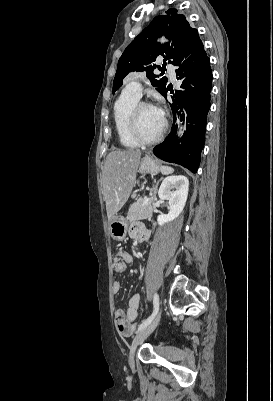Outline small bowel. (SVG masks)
<instances>
[{
	"label": "small bowel",
	"mask_w": 273,
	"mask_h": 401,
	"mask_svg": "<svg viewBox=\"0 0 273 401\" xmlns=\"http://www.w3.org/2000/svg\"><path fill=\"white\" fill-rule=\"evenodd\" d=\"M148 234V231H145L139 225L133 226L130 229V236L135 238L136 240H142L144 236ZM134 258L133 256L124 250H118L113 259V270L115 273H123L128 264H133ZM121 282L119 280H114L112 284L113 293H119L121 290ZM141 298L137 293L132 294L127 303V307L125 310L117 309L114 314L115 324L117 331L124 335L128 336L132 333L135 328L139 310H140Z\"/></svg>",
	"instance_id": "small-bowel-1"
}]
</instances>
